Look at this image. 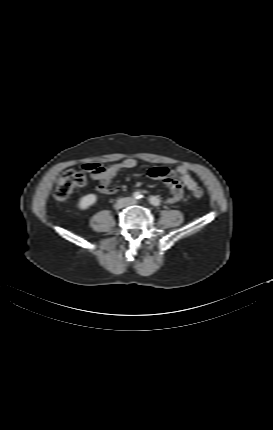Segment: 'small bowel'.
I'll return each mask as SVG.
<instances>
[{"instance_id":"small-bowel-1","label":"small bowel","mask_w":273,"mask_h":430,"mask_svg":"<svg viewBox=\"0 0 273 430\" xmlns=\"http://www.w3.org/2000/svg\"><path fill=\"white\" fill-rule=\"evenodd\" d=\"M137 166L138 161L136 159L127 158L108 167H104L100 162H83L80 164V171L87 175L91 174V178L98 182L97 192L99 194L110 195L118 191V187H110L111 180L121 170ZM148 175L162 180L169 187L171 194L167 202L170 204H175L183 198L184 188L192 191L198 187L184 166H179L174 170H169L166 167H154L148 171Z\"/></svg>"}]
</instances>
